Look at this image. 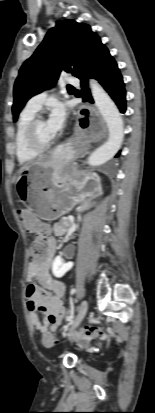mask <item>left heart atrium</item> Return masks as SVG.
Segmentation results:
<instances>
[{"instance_id": "1", "label": "left heart atrium", "mask_w": 155, "mask_h": 413, "mask_svg": "<svg viewBox=\"0 0 155 413\" xmlns=\"http://www.w3.org/2000/svg\"><path fill=\"white\" fill-rule=\"evenodd\" d=\"M67 112L65 106L60 103H54L51 106L49 117L46 121L49 133L55 137L63 128L66 122Z\"/></svg>"}]
</instances>
